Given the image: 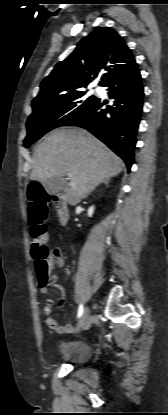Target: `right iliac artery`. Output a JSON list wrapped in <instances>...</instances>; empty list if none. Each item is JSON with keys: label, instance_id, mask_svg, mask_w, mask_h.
Returning a JSON list of instances; mask_svg holds the SVG:
<instances>
[{"label": "right iliac artery", "instance_id": "82829eb1", "mask_svg": "<svg viewBox=\"0 0 168 415\" xmlns=\"http://www.w3.org/2000/svg\"><path fill=\"white\" fill-rule=\"evenodd\" d=\"M83 312H84L83 305L80 304L79 309H78V316L77 317L80 318L82 316Z\"/></svg>", "mask_w": 168, "mask_h": 415}]
</instances>
